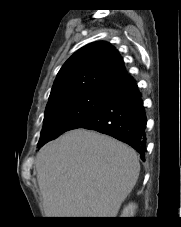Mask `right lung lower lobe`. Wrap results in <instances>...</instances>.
<instances>
[{
	"instance_id": "right-lung-lower-lobe-1",
	"label": "right lung lower lobe",
	"mask_w": 181,
	"mask_h": 227,
	"mask_svg": "<svg viewBox=\"0 0 181 227\" xmlns=\"http://www.w3.org/2000/svg\"><path fill=\"white\" fill-rule=\"evenodd\" d=\"M146 124L141 93L135 81L126 75L114 84L103 105L72 129L85 128L110 135L133 147L144 161Z\"/></svg>"
}]
</instances>
